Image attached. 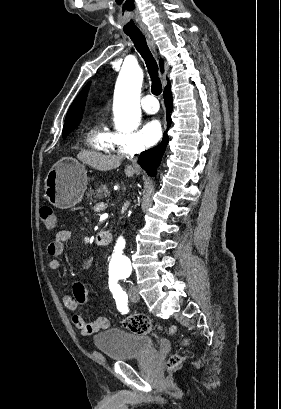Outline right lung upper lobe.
<instances>
[{
    "label": "right lung upper lobe",
    "mask_w": 281,
    "mask_h": 409,
    "mask_svg": "<svg viewBox=\"0 0 281 409\" xmlns=\"http://www.w3.org/2000/svg\"><path fill=\"white\" fill-rule=\"evenodd\" d=\"M160 69L161 72L163 73L164 65L162 60H160ZM89 85L90 84L88 83L86 87L78 95V97L74 100V102L71 104L65 118L64 126L78 125L80 123ZM168 88H170V83L167 84L165 90Z\"/></svg>",
    "instance_id": "1"
}]
</instances>
